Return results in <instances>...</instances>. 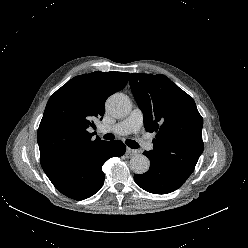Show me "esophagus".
Instances as JSON below:
<instances>
[{"label":"esophagus","mask_w":248,"mask_h":248,"mask_svg":"<svg viewBox=\"0 0 248 248\" xmlns=\"http://www.w3.org/2000/svg\"><path fill=\"white\" fill-rule=\"evenodd\" d=\"M137 153H138V151L135 149L127 148V150H126V154L129 157H132L133 155H136Z\"/></svg>","instance_id":"34e87169"}]
</instances>
